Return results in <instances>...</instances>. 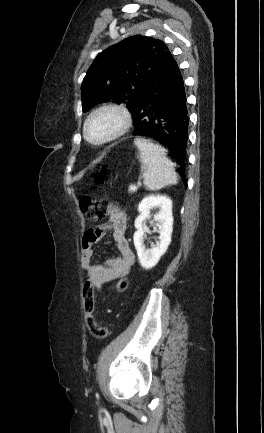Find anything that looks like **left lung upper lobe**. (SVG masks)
Returning a JSON list of instances; mask_svg holds the SVG:
<instances>
[{"instance_id": "5c2ea615", "label": "left lung upper lobe", "mask_w": 264, "mask_h": 433, "mask_svg": "<svg viewBox=\"0 0 264 433\" xmlns=\"http://www.w3.org/2000/svg\"><path fill=\"white\" fill-rule=\"evenodd\" d=\"M171 57L160 40L129 37L101 52L87 71L81 87L83 111L100 102L124 103L132 111L141 92Z\"/></svg>"}]
</instances>
